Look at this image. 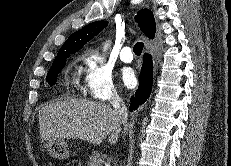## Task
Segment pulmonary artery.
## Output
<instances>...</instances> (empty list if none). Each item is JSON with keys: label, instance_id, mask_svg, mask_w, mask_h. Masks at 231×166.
Masks as SVG:
<instances>
[{"label": "pulmonary artery", "instance_id": "pulmonary-artery-1", "mask_svg": "<svg viewBox=\"0 0 231 166\" xmlns=\"http://www.w3.org/2000/svg\"><path fill=\"white\" fill-rule=\"evenodd\" d=\"M119 57L121 61L130 63L133 60L132 49L130 46H125L120 51Z\"/></svg>", "mask_w": 231, "mask_h": 166}]
</instances>
